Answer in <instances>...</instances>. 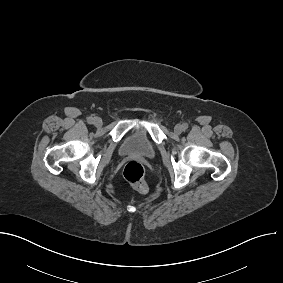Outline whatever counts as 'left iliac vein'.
I'll return each mask as SVG.
<instances>
[{"mask_svg": "<svg viewBox=\"0 0 283 283\" xmlns=\"http://www.w3.org/2000/svg\"><path fill=\"white\" fill-rule=\"evenodd\" d=\"M183 131V127L179 124H177L175 127H174V132L176 134H180L181 132Z\"/></svg>", "mask_w": 283, "mask_h": 283, "instance_id": "1", "label": "left iliac vein"}]
</instances>
